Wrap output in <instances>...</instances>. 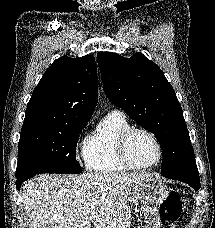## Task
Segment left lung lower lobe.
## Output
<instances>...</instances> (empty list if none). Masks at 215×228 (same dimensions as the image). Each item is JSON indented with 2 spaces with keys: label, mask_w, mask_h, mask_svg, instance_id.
<instances>
[{
  "label": "left lung lower lobe",
  "mask_w": 215,
  "mask_h": 228,
  "mask_svg": "<svg viewBox=\"0 0 215 228\" xmlns=\"http://www.w3.org/2000/svg\"><path fill=\"white\" fill-rule=\"evenodd\" d=\"M162 175L166 178L185 182L193 187L196 191L200 189V179L196 163Z\"/></svg>",
  "instance_id": "0a47b994"
}]
</instances>
